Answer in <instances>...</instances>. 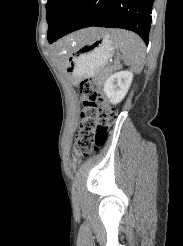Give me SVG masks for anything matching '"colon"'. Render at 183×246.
<instances>
[{
    "mask_svg": "<svg viewBox=\"0 0 183 246\" xmlns=\"http://www.w3.org/2000/svg\"><path fill=\"white\" fill-rule=\"evenodd\" d=\"M80 103V125L74 152L78 157H87L105 143L117 112L102 96L98 82L91 78L80 83Z\"/></svg>",
    "mask_w": 183,
    "mask_h": 246,
    "instance_id": "1",
    "label": "colon"
}]
</instances>
